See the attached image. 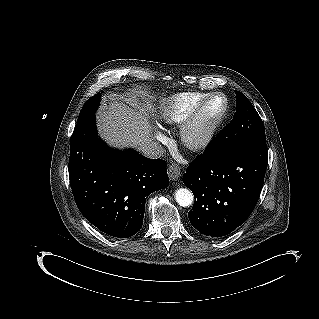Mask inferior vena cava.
<instances>
[{
  "label": "inferior vena cava",
  "instance_id": "inferior-vena-cava-1",
  "mask_svg": "<svg viewBox=\"0 0 319 319\" xmlns=\"http://www.w3.org/2000/svg\"><path fill=\"white\" fill-rule=\"evenodd\" d=\"M141 153L151 159H157L163 156L165 149L157 142H147L140 146Z\"/></svg>",
  "mask_w": 319,
  "mask_h": 319
}]
</instances>
